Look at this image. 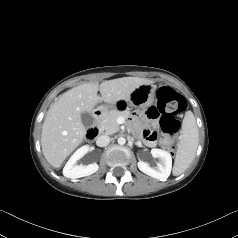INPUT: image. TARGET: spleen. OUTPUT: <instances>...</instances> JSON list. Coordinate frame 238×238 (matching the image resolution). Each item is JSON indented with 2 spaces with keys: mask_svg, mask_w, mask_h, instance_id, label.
Returning <instances> with one entry per match:
<instances>
[{
  "mask_svg": "<svg viewBox=\"0 0 238 238\" xmlns=\"http://www.w3.org/2000/svg\"><path fill=\"white\" fill-rule=\"evenodd\" d=\"M198 147V128L196 119L191 111H187L183 122L180 142L175 157L173 174H182L191 164Z\"/></svg>",
  "mask_w": 238,
  "mask_h": 238,
  "instance_id": "obj_1",
  "label": "spleen"
}]
</instances>
